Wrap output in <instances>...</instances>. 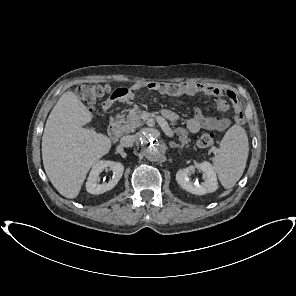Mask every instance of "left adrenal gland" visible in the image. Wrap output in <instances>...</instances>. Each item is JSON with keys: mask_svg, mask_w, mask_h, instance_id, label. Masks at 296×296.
<instances>
[{"mask_svg": "<svg viewBox=\"0 0 296 296\" xmlns=\"http://www.w3.org/2000/svg\"><path fill=\"white\" fill-rule=\"evenodd\" d=\"M169 146H170V148H181V149L183 148L182 145H179L175 142H169Z\"/></svg>", "mask_w": 296, "mask_h": 296, "instance_id": "1", "label": "left adrenal gland"}]
</instances>
